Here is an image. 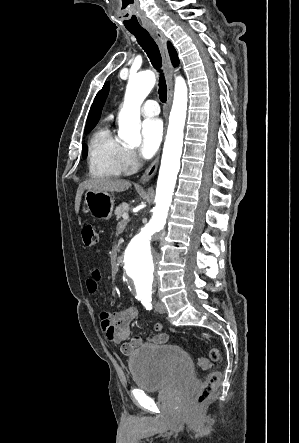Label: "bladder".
Returning a JSON list of instances; mask_svg holds the SVG:
<instances>
[{
    "instance_id": "obj_1",
    "label": "bladder",
    "mask_w": 299,
    "mask_h": 443,
    "mask_svg": "<svg viewBox=\"0 0 299 443\" xmlns=\"http://www.w3.org/2000/svg\"><path fill=\"white\" fill-rule=\"evenodd\" d=\"M133 382L146 391L165 389L193 379V362L181 347L170 344L144 346L128 359Z\"/></svg>"
}]
</instances>
